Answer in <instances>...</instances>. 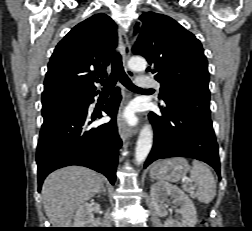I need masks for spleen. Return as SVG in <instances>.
<instances>
[{
	"label": "spleen",
	"mask_w": 252,
	"mask_h": 231,
	"mask_svg": "<svg viewBox=\"0 0 252 231\" xmlns=\"http://www.w3.org/2000/svg\"><path fill=\"white\" fill-rule=\"evenodd\" d=\"M190 178L198 186L195 196L202 203H210L216 195V182L210 169L203 163L194 160Z\"/></svg>",
	"instance_id": "obj_1"
}]
</instances>
